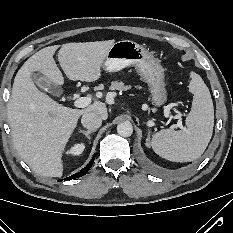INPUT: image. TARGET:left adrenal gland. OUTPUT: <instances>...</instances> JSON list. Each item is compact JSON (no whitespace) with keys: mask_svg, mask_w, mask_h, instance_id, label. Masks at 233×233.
Returning <instances> with one entry per match:
<instances>
[{"mask_svg":"<svg viewBox=\"0 0 233 233\" xmlns=\"http://www.w3.org/2000/svg\"><path fill=\"white\" fill-rule=\"evenodd\" d=\"M150 140V131L148 132V138H147V141Z\"/></svg>","mask_w":233,"mask_h":233,"instance_id":"a2214340","label":"left adrenal gland"}]
</instances>
